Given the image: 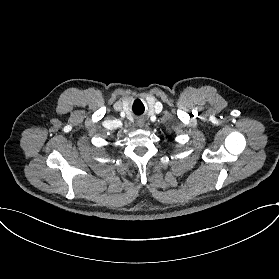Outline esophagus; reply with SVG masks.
<instances>
[{
    "mask_svg": "<svg viewBox=\"0 0 279 279\" xmlns=\"http://www.w3.org/2000/svg\"><path fill=\"white\" fill-rule=\"evenodd\" d=\"M143 125H144V123H139V127L140 128L143 127Z\"/></svg>",
    "mask_w": 279,
    "mask_h": 279,
    "instance_id": "34e87169",
    "label": "esophagus"
}]
</instances>
